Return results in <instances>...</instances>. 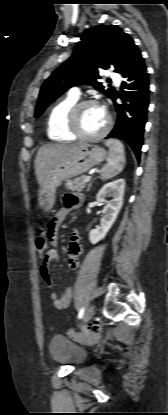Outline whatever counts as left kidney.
Listing matches in <instances>:
<instances>
[{
  "label": "left kidney",
  "instance_id": "obj_1",
  "mask_svg": "<svg viewBox=\"0 0 168 415\" xmlns=\"http://www.w3.org/2000/svg\"><path fill=\"white\" fill-rule=\"evenodd\" d=\"M124 189L125 180L117 179L105 184L96 195V200L98 202H105L107 196L112 197L113 199L107 202L104 207L100 225L89 232V240L92 244H96L102 240L114 224L123 205Z\"/></svg>",
  "mask_w": 168,
  "mask_h": 415
}]
</instances>
